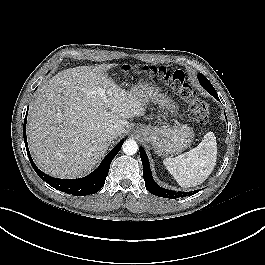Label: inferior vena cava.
I'll list each match as a JSON object with an SVG mask.
<instances>
[{
  "instance_id": "inferior-vena-cava-1",
  "label": "inferior vena cava",
  "mask_w": 265,
  "mask_h": 265,
  "mask_svg": "<svg viewBox=\"0 0 265 265\" xmlns=\"http://www.w3.org/2000/svg\"><path fill=\"white\" fill-rule=\"evenodd\" d=\"M106 135H107V137L113 139V138H115L117 136V132H116L115 129L111 128V129L107 130Z\"/></svg>"
}]
</instances>
